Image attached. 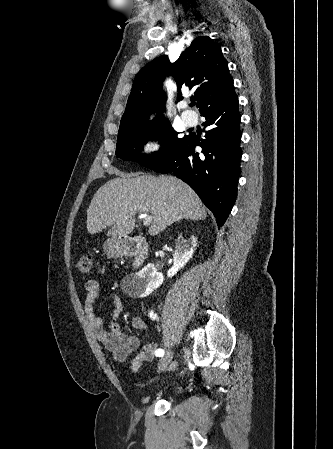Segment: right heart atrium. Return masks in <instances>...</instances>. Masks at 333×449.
Masks as SVG:
<instances>
[{
	"mask_svg": "<svg viewBox=\"0 0 333 449\" xmlns=\"http://www.w3.org/2000/svg\"><path fill=\"white\" fill-rule=\"evenodd\" d=\"M162 149V143L157 138H148L141 143L140 151L144 156L152 157Z\"/></svg>",
	"mask_w": 333,
	"mask_h": 449,
	"instance_id": "d8ad5b80",
	"label": "right heart atrium"
}]
</instances>
